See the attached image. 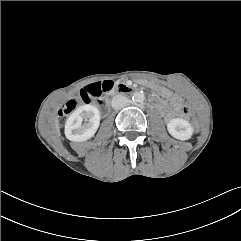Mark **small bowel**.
Here are the masks:
<instances>
[{"mask_svg": "<svg viewBox=\"0 0 241 241\" xmlns=\"http://www.w3.org/2000/svg\"><path fill=\"white\" fill-rule=\"evenodd\" d=\"M165 96L170 100V104L165 106V115L167 118H171L174 114L178 113L181 107V99L176 95H171L167 92Z\"/></svg>", "mask_w": 241, "mask_h": 241, "instance_id": "small-bowel-1", "label": "small bowel"}]
</instances>
